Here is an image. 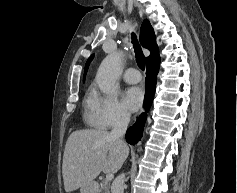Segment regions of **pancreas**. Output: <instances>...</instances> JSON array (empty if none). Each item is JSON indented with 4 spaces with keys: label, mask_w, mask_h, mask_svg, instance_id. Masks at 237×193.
<instances>
[{
    "label": "pancreas",
    "mask_w": 237,
    "mask_h": 193,
    "mask_svg": "<svg viewBox=\"0 0 237 193\" xmlns=\"http://www.w3.org/2000/svg\"><path fill=\"white\" fill-rule=\"evenodd\" d=\"M109 188H110V186H109L108 182H103L101 184V189L103 190V193H110Z\"/></svg>",
    "instance_id": "obj_1"
}]
</instances>
